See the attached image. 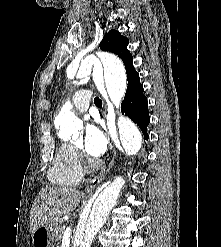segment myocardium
I'll use <instances>...</instances> for the list:
<instances>
[{
  "label": "myocardium",
  "instance_id": "1",
  "mask_svg": "<svg viewBox=\"0 0 221 247\" xmlns=\"http://www.w3.org/2000/svg\"><path fill=\"white\" fill-rule=\"evenodd\" d=\"M75 147H76V149L80 150V147L79 146H75ZM86 162L90 166L93 165V162L90 159H88V158H86Z\"/></svg>",
  "mask_w": 221,
  "mask_h": 247
}]
</instances>
